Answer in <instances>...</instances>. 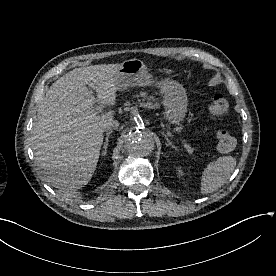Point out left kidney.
Here are the masks:
<instances>
[{"mask_svg":"<svg viewBox=\"0 0 276 276\" xmlns=\"http://www.w3.org/2000/svg\"><path fill=\"white\" fill-rule=\"evenodd\" d=\"M177 173H178V175H180V176H183V175H184V172H183V170L181 169V167H177Z\"/></svg>","mask_w":276,"mask_h":276,"instance_id":"5707ae66","label":"left kidney"}]
</instances>
